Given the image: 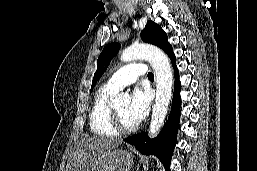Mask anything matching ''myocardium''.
<instances>
[{"label":"myocardium","mask_w":257,"mask_h":171,"mask_svg":"<svg viewBox=\"0 0 257 171\" xmlns=\"http://www.w3.org/2000/svg\"><path fill=\"white\" fill-rule=\"evenodd\" d=\"M111 120H112V126L118 133H131L138 129L139 124L136 123L132 126H128L124 124L122 121L118 111L115 107L111 106Z\"/></svg>","instance_id":"1"}]
</instances>
